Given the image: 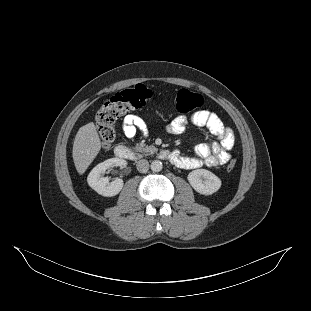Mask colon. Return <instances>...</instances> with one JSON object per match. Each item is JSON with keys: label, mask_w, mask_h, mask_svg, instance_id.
<instances>
[{"label": "colon", "mask_w": 311, "mask_h": 311, "mask_svg": "<svg viewBox=\"0 0 311 311\" xmlns=\"http://www.w3.org/2000/svg\"><path fill=\"white\" fill-rule=\"evenodd\" d=\"M151 98V90L139 84L115 94L102 104L96 113L95 121L104 149H109L115 139V121L132 110L147 106ZM202 103V96L188 89L179 90L174 99L175 109L181 114L192 112ZM235 166L236 160L231 159L227 164V170L231 171Z\"/></svg>", "instance_id": "5ec220e1"}]
</instances>
